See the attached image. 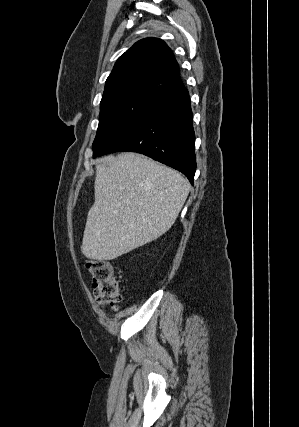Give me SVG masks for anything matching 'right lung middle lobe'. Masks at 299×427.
<instances>
[{
    "mask_svg": "<svg viewBox=\"0 0 299 427\" xmlns=\"http://www.w3.org/2000/svg\"><path fill=\"white\" fill-rule=\"evenodd\" d=\"M154 103L136 96H119L101 101L97 134L92 145L99 153L125 132Z\"/></svg>",
    "mask_w": 299,
    "mask_h": 427,
    "instance_id": "dd1d6c3e",
    "label": "right lung middle lobe"
}]
</instances>
